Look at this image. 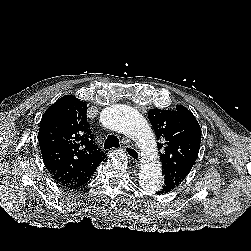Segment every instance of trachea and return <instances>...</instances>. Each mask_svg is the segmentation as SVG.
I'll use <instances>...</instances> for the list:
<instances>
[{
	"label": "trachea",
	"instance_id": "trachea-1",
	"mask_svg": "<svg viewBox=\"0 0 251 251\" xmlns=\"http://www.w3.org/2000/svg\"><path fill=\"white\" fill-rule=\"evenodd\" d=\"M113 147H120L119 139L115 135H109L104 143V149H110Z\"/></svg>",
	"mask_w": 251,
	"mask_h": 251
}]
</instances>
